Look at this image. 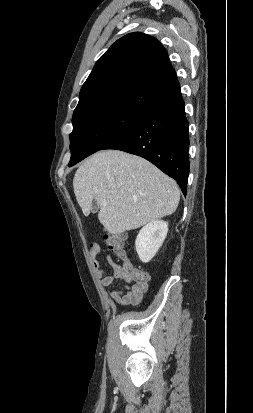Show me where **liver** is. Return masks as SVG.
Returning a JSON list of instances; mask_svg holds the SVG:
<instances>
[{"instance_id":"6515ba94","label":"liver","mask_w":253,"mask_h":413,"mask_svg":"<svg viewBox=\"0 0 253 413\" xmlns=\"http://www.w3.org/2000/svg\"><path fill=\"white\" fill-rule=\"evenodd\" d=\"M74 193L83 214L93 200L98 219L111 234H121L171 215L180 191L176 182L149 161L119 150L93 154L77 169Z\"/></svg>"}]
</instances>
